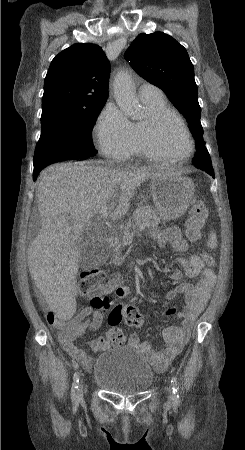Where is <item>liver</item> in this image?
Returning a JSON list of instances; mask_svg holds the SVG:
<instances>
[{
	"label": "liver",
	"instance_id": "liver-1",
	"mask_svg": "<svg viewBox=\"0 0 245 450\" xmlns=\"http://www.w3.org/2000/svg\"><path fill=\"white\" fill-rule=\"evenodd\" d=\"M167 173L175 172L72 163L54 164L41 173L37 203L42 228L29 246L28 267L50 310L59 318H71L76 309L80 256L76 242L87 224L105 206L110 218H122L137 187Z\"/></svg>",
	"mask_w": 245,
	"mask_h": 450
}]
</instances>
